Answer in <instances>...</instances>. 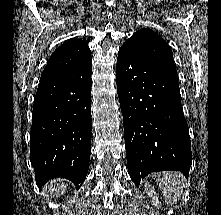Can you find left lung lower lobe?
<instances>
[{
	"label": "left lung lower lobe",
	"mask_w": 221,
	"mask_h": 215,
	"mask_svg": "<svg viewBox=\"0 0 221 215\" xmlns=\"http://www.w3.org/2000/svg\"><path fill=\"white\" fill-rule=\"evenodd\" d=\"M116 79L132 181L138 185L150 172L166 170L187 177L192 153L178 77L123 44Z\"/></svg>",
	"instance_id": "1"
}]
</instances>
